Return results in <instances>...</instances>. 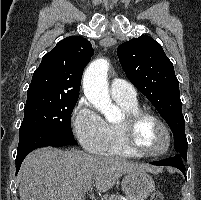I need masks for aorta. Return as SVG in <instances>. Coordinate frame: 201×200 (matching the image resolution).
I'll return each instance as SVG.
<instances>
[{"label": "aorta", "mask_w": 201, "mask_h": 200, "mask_svg": "<svg viewBox=\"0 0 201 200\" xmlns=\"http://www.w3.org/2000/svg\"><path fill=\"white\" fill-rule=\"evenodd\" d=\"M109 62L100 58L93 61L85 70L83 76V89L87 100L99 110L107 120H112L119 109L110 99L107 74Z\"/></svg>", "instance_id": "aorta-1"}]
</instances>
